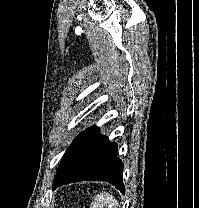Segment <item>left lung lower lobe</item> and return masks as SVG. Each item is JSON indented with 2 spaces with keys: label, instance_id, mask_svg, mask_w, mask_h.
I'll return each mask as SVG.
<instances>
[{
  "label": "left lung lower lobe",
  "instance_id": "0a47b994",
  "mask_svg": "<svg viewBox=\"0 0 199 208\" xmlns=\"http://www.w3.org/2000/svg\"><path fill=\"white\" fill-rule=\"evenodd\" d=\"M122 174L117 144L108 142L98 128L91 127L80 133L66 150L52 188L82 180H99L110 182L125 193Z\"/></svg>",
  "mask_w": 199,
  "mask_h": 208
}]
</instances>
